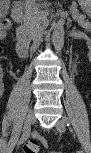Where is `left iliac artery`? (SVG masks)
I'll use <instances>...</instances> for the list:
<instances>
[{"instance_id":"obj_1","label":"left iliac artery","mask_w":91,"mask_h":153,"mask_svg":"<svg viewBox=\"0 0 91 153\" xmlns=\"http://www.w3.org/2000/svg\"><path fill=\"white\" fill-rule=\"evenodd\" d=\"M63 119H64V121H65V123H66L67 126H70L71 125V122H70V119L69 118L65 117ZM78 153H84V151H78Z\"/></svg>"}]
</instances>
